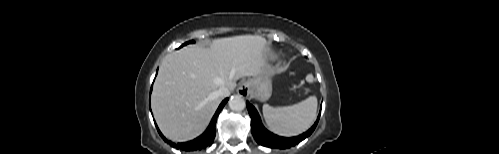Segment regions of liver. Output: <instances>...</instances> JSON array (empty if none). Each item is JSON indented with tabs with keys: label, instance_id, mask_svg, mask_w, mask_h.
Segmentation results:
<instances>
[{
	"label": "liver",
	"instance_id": "6515ba94",
	"mask_svg": "<svg viewBox=\"0 0 499 154\" xmlns=\"http://www.w3.org/2000/svg\"><path fill=\"white\" fill-rule=\"evenodd\" d=\"M267 41L258 35L216 39L209 49L186 46L168 54L152 93V111L162 133L175 142L199 136L209 124L221 97L242 77H257L267 66Z\"/></svg>",
	"mask_w": 499,
	"mask_h": 154
}]
</instances>
